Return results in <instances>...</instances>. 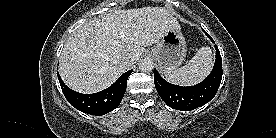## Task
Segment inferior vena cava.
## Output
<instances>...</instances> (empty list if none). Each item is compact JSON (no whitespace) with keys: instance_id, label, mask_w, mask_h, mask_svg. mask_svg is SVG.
<instances>
[{"instance_id":"obj_1","label":"inferior vena cava","mask_w":276,"mask_h":138,"mask_svg":"<svg viewBox=\"0 0 276 138\" xmlns=\"http://www.w3.org/2000/svg\"><path fill=\"white\" fill-rule=\"evenodd\" d=\"M120 61H121V63L122 64H124V65H130L131 64V62H132V59H131V57L130 56H122L121 58H120Z\"/></svg>"}]
</instances>
